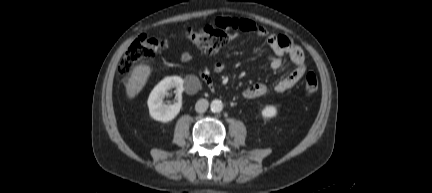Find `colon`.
I'll return each mask as SVG.
<instances>
[{"mask_svg":"<svg viewBox=\"0 0 432 193\" xmlns=\"http://www.w3.org/2000/svg\"><path fill=\"white\" fill-rule=\"evenodd\" d=\"M228 29L220 23L206 25L201 31H189L190 42L207 54H216L228 42ZM166 48V42L162 39L140 35L127 49L121 59L118 71L128 74L134 65L142 59L156 57ZM318 79L312 72L307 73L304 79V89L307 94H313L318 90Z\"/></svg>","mask_w":432,"mask_h":193,"instance_id":"colon-1","label":"colon"}]
</instances>
